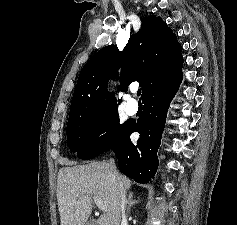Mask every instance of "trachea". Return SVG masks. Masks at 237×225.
I'll return each mask as SVG.
<instances>
[{
    "label": "trachea",
    "instance_id": "3493384b",
    "mask_svg": "<svg viewBox=\"0 0 237 225\" xmlns=\"http://www.w3.org/2000/svg\"><path fill=\"white\" fill-rule=\"evenodd\" d=\"M140 94H141V90L139 89V90L137 91V96H140Z\"/></svg>",
    "mask_w": 237,
    "mask_h": 225
}]
</instances>
